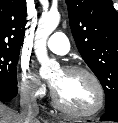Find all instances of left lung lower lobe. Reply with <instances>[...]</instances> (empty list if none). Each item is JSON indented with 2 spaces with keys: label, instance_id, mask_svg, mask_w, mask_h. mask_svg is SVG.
<instances>
[{
  "label": "left lung lower lobe",
  "instance_id": "obj_1",
  "mask_svg": "<svg viewBox=\"0 0 118 123\" xmlns=\"http://www.w3.org/2000/svg\"><path fill=\"white\" fill-rule=\"evenodd\" d=\"M101 121H115L118 122V109L106 112L100 119Z\"/></svg>",
  "mask_w": 118,
  "mask_h": 123
}]
</instances>
